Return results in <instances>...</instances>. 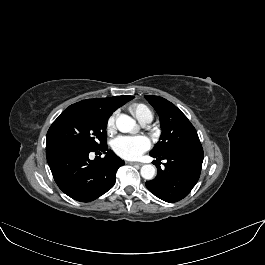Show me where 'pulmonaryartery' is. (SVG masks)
Returning a JSON list of instances; mask_svg holds the SVG:
<instances>
[{
	"instance_id": "e3ab8cb5",
	"label": "pulmonary artery",
	"mask_w": 265,
	"mask_h": 265,
	"mask_svg": "<svg viewBox=\"0 0 265 265\" xmlns=\"http://www.w3.org/2000/svg\"><path fill=\"white\" fill-rule=\"evenodd\" d=\"M143 125H146L147 123H142Z\"/></svg>"
}]
</instances>
